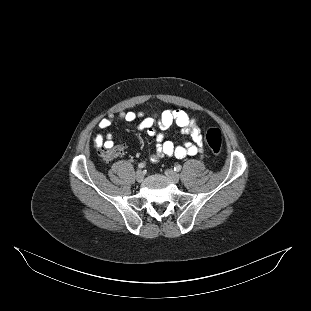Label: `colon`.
Here are the masks:
<instances>
[{"label": "colon", "mask_w": 311, "mask_h": 311, "mask_svg": "<svg viewBox=\"0 0 311 311\" xmlns=\"http://www.w3.org/2000/svg\"><path fill=\"white\" fill-rule=\"evenodd\" d=\"M205 139L210 149L215 155H219L222 147V134L218 128L207 127L204 131ZM124 151L122 144L102 145L98 153L106 162H111L118 158Z\"/></svg>", "instance_id": "5ec220e1"}]
</instances>
